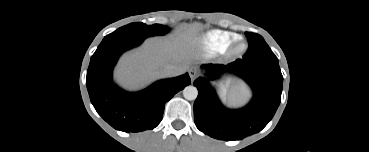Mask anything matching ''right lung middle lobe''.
Wrapping results in <instances>:
<instances>
[{"label":"right lung middle lobe","instance_id":"dd1d6c3e","mask_svg":"<svg viewBox=\"0 0 369 152\" xmlns=\"http://www.w3.org/2000/svg\"><path fill=\"white\" fill-rule=\"evenodd\" d=\"M168 32L169 28L164 25L160 24L146 25L141 22H136L123 26L107 36L124 34L145 39L150 36L164 35Z\"/></svg>","mask_w":369,"mask_h":152}]
</instances>
